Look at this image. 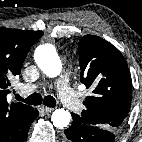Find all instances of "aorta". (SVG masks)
<instances>
[{
  "instance_id": "1",
  "label": "aorta",
  "mask_w": 142,
  "mask_h": 142,
  "mask_svg": "<svg viewBox=\"0 0 142 142\" xmlns=\"http://www.w3.org/2000/svg\"><path fill=\"white\" fill-rule=\"evenodd\" d=\"M34 58L41 71L48 77H57L61 73L62 63L52 44L38 46ZM51 121L56 128H65L71 121V114L63 108L56 109L52 113Z\"/></svg>"
}]
</instances>
